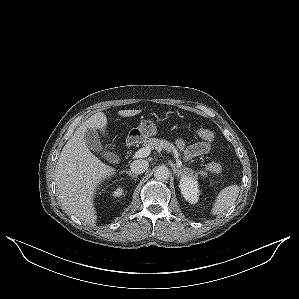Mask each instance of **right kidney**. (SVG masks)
Here are the masks:
<instances>
[{"label":"right kidney","instance_id":"ca27d5eb","mask_svg":"<svg viewBox=\"0 0 299 299\" xmlns=\"http://www.w3.org/2000/svg\"><path fill=\"white\" fill-rule=\"evenodd\" d=\"M124 190L121 187L116 188L113 192H112V196L113 197H120L123 194Z\"/></svg>","mask_w":299,"mask_h":299}]
</instances>
